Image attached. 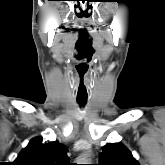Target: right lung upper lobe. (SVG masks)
Returning a JSON list of instances; mask_svg holds the SVG:
<instances>
[{
  "instance_id": "cb5924a9",
  "label": "right lung upper lobe",
  "mask_w": 165,
  "mask_h": 165,
  "mask_svg": "<svg viewBox=\"0 0 165 165\" xmlns=\"http://www.w3.org/2000/svg\"><path fill=\"white\" fill-rule=\"evenodd\" d=\"M14 165H72L69 163L67 148L58 141L42 142L33 138L13 162Z\"/></svg>"
}]
</instances>
